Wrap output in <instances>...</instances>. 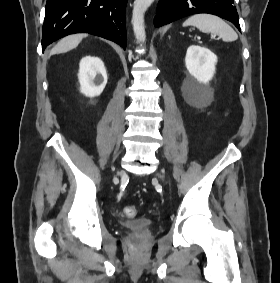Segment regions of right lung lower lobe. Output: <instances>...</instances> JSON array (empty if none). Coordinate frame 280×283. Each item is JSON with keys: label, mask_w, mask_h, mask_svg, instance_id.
<instances>
[{"label": "right lung lower lobe", "mask_w": 280, "mask_h": 283, "mask_svg": "<svg viewBox=\"0 0 280 283\" xmlns=\"http://www.w3.org/2000/svg\"><path fill=\"white\" fill-rule=\"evenodd\" d=\"M128 0H47L42 50L73 33H90L126 49L125 9Z\"/></svg>", "instance_id": "obj_1"}]
</instances>
